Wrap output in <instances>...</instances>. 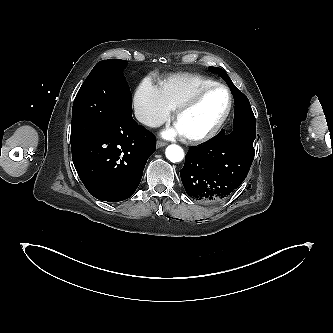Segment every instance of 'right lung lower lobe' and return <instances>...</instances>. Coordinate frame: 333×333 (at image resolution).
Here are the masks:
<instances>
[{"label":"right lung lower lobe","mask_w":333,"mask_h":333,"mask_svg":"<svg viewBox=\"0 0 333 333\" xmlns=\"http://www.w3.org/2000/svg\"><path fill=\"white\" fill-rule=\"evenodd\" d=\"M123 105L96 133L72 145V160L89 193L103 201H122L137 189L145 164L155 151L154 137Z\"/></svg>","instance_id":"98d812e1"}]
</instances>
